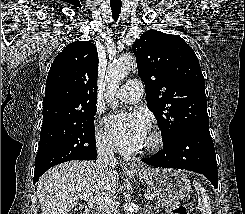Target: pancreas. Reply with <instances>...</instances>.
Returning a JSON list of instances; mask_svg holds the SVG:
<instances>
[{"label":"pancreas","instance_id":"pancreas-1","mask_svg":"<svg viewBox=\"0 0 245 214\" xmlns=\"http://www.w3.org/2000/svg\"><path fill=\"white\" fill-rule=\"evenodd\" d=\"M153 197L157 200L156 204L160 207H168L171 204V202H169L168 200L161 197H156V195H154ZM99 212V214H119L118 205L102 207L99 209Z\"/></svg>","mask_w":245,"mask_h":214}]
</instances>
